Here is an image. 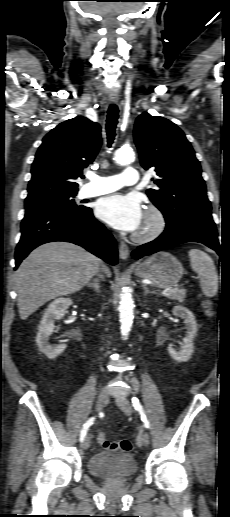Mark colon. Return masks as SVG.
<instances>
[{
	"mask_svg": "<svg viewBox=\"0 0 230 517\" xmlns=\"http://www.w3.org/2000/svg\"><path fill=\"white\" fill-rule=\"evenodd\" d=\"M204 308L206 309L208 315L213 314L212 303L208 300L204 301ZM98 443L106 450H120L122 452H129L132 448V444L129 440H121V441H110L104 432H99L97 434Z\"/></svg>",
	"mask_w": 230,
	"mask_h": 517,
	"instance_id": "obj_1",
	"label": "colon"
}]
</instances>
